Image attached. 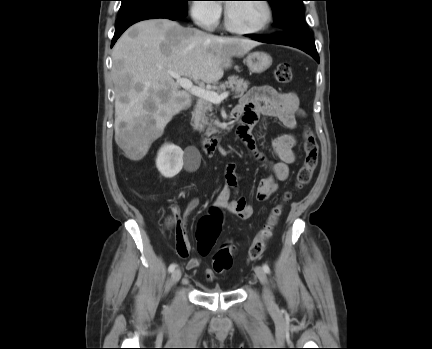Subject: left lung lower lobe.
<instances>
[{
  "mask_svg": "<svg viewBox=\"0 0 432 349\" xmlns=\"http://www.w3.org/2000/svg\"><path fill=\"white\" fill-rule=\"evenodd\" d=\"M248 37L264 43H275L298 48L310 54L319 63L315 42L310 32L283 31L281 35L276 36L274 39L265 35H248Z\"/></svg>",
  "mask_w": 432,
  "mask_h": 349,
  "instance_id": "0a47b994",
  "label": "left lung lower lobe"
}]
</instances>
